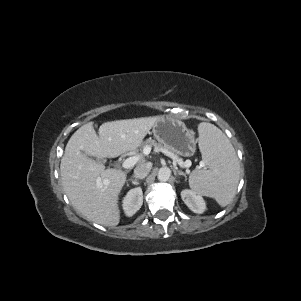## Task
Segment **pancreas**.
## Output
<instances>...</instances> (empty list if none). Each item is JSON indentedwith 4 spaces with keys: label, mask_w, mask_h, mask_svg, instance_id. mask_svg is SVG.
Instances as JSON below:
<instances>
[{
    "label": "pancreas",
    "mask_w": 301,
    "mask_h": 301,
    "mask_svg": "<svg viewBox=\"0 0 301 301\" xmlns=\"http://www.w3.org/2000/svg\"><path fill=\"white\" fill-rule=\"evenodd\" d=\"M148 146H152L156 149H164V150H167L169 152H171L173 155H175V153L173 151H171L170 149H168L166 146H163L162 144L160 143H157L155 140H152V139H147L144 143H142L141 147L142 148H145V147H148ZM176 156V155H175ZM177 157V156H176Z\"/></svg>",
    "instance_id": "1"
}]
</instances>
